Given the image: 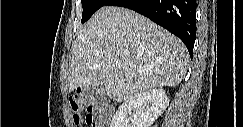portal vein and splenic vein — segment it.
Wrapping results in <instances>:
<instances>
[{"label":"portal vein and splenic vein","instance_id":"18ae733b","mask_svg":"<svg viewBox=\"0 0 243 127\" xmlns=\"http://www.w3.org/2000/svg\"><path fill=\"white\" fill-rule=\"evenodd\" d=\"M114 68H121V66L119 64H115L113 65Z\"/></svg>","mask_w":243,"mask_h":127}]
</instances>
